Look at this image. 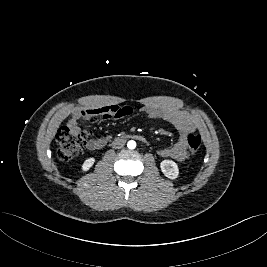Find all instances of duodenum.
I'll return each mask as SVG.
<instances>
[{"mask_svg": "<svg viewBox=\"0 0 267 267\" xmlns=\"http://www.w3.org/2000/svg\"><path fill=\"white\" fill-rule=\"evenodd\" d=\"M128 137L135 138L140 141H145V138L142 135H138V134L129 135Z\"/></svg>", "mask_w": 267, "mask_h": 267, "instance_id": "1", "label": "duodenum"}]
</instances>
